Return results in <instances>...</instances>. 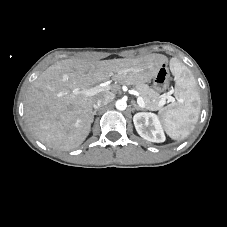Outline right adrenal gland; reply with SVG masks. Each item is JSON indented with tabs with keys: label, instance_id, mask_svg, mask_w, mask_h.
Returning <instances> with one entry per match:
<instances>
[{
	"label": "right adrenal gland",
	"instance_id": "obj_1",
	"mask_svg": "<svg viewBox=\"0 0 227 227\" xmlns=\"http://www.w3.org/2000/svg\"><path fill=\"white\" fill-rule=\"evenodd\" d=\"M97 111H98V109H95V110L93 111V116L96 115Z\"/></svg>",
	"mask_w": 227,
	"mask_h": 227
}]
</instances>
